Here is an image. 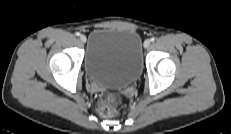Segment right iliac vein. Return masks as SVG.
Wrapping results in <instances>:
<instances>
[{
  "instance_id": "right-iliac-vein-1",
  "label": "right iliac vein",
  "mask_w": 231,
  "mask_h": 134,
  "mask_svg": "<svg viewBox=\"0 0 231 134\" xmlns=\"http://www.w3.org/2000/svg\"><path fill=\"white\" fill-rule=\"evenodd\" d=\"M80 40H81V42L85 43L86 40H87V38H86L85 35H81V36H80Z\"/></svg>"
}]
</instances>
